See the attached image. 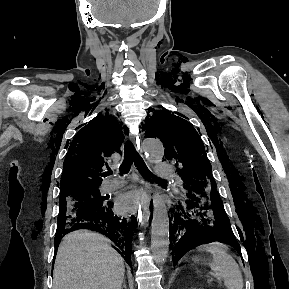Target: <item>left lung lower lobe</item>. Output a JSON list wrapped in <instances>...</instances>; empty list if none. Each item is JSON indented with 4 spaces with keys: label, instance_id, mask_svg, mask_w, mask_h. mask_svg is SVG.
Wrapping results in <instances>:
<instances>
[{
    "label": "left lung lower lobe",
    "instance_id": "left-lung-lower-lobe-1",
    "mask_svg": "<svg viewBox=\"0 0 289 289\" xmlns=\"http://www.w3.org/2000/svg\"><path fill=\"white\" fill-rule=\"evenodd\" d=\"M214 187L194 186L184 190L172 206L170 248L173 264L195 247V240L204 237L224 239L239 246L230 220Z\"/></svg>",
    "mask_w": 289,
    "mask_h": 289
}]
</instances>
